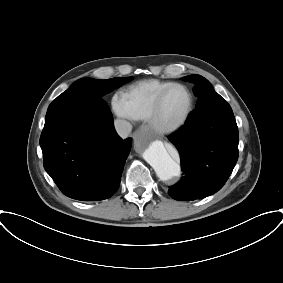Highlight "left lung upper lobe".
<instances>
[{"label": "left lung upper lobe", "mask_w": 283, "mask_h": 283, "mask_svg": "<svg viewBox=\"0 0 283 283\" xmlns=\"http://www.w3.org/2000/svg\"><path fill=\"white\" fill-rule=\"evenodd\" d=\"M183 80L189 81L195 84L193 90L195 95L198 97V105H203L205 103L211 102L213 98L218 95L210 82L202 77L201 75H190L183 77ZM220 136L223 137H235L238 138V127L236 124V120L234 118V114L230 116L229 126L226 130L219 133Z\"/></svg>", "instance_id": "5c2ea615"}]
</instances>
